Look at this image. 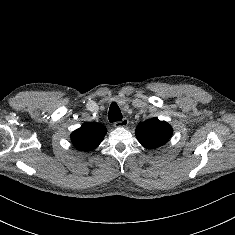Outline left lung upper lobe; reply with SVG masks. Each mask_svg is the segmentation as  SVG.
<instances>
[{"mask_svg": "<svg viewBox=\"0 0 235 235\" xmlns=\"http://www.w3.org/2000/svg\"><path fill=\"white\" fill-rule=\"evenodd\" d=\"M173 133L172 127L165 121L152 118L141 122L136 127L138 141L146 148L154 149L169 141Z\"/></svg>", "mask_w": 235, "mask_h": 235, "instance_id": "obj_1", "label": "left lung upper lobe"}]
</instances>
